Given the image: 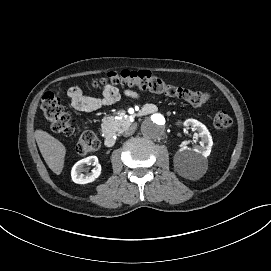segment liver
I'll return each instance as SVG.
<instances>
[{
  "label": "liver",
  "instance_id": "1",
  "mask_svg": "<svg viewBox=\"0 0 271 271\" xmlns=\"http://www.w3.org/2000/svg\"><path fill=\"white\" fill-rule=\"evenodd\" d=\"M35 139L48 167L59 175L64 167L66 149L64 145L45 131L36 130Z\"/></svg>",
  "mask_w": 271,
  "mask_h": 271
}]
</instances>
